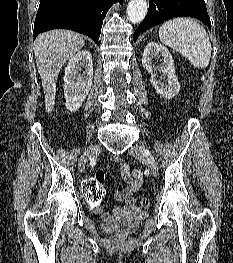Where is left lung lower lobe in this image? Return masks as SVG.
Instances as JSON below:
<instances>
[{
	"mask_svg": "<svg viewBox=\"0 0 233 263\" xmlns=\"http://www.w3.org/2000/svg\"><path fill=\"white\" fill-rule=\"evenodd\" d=\"M191 16L200 19L211 30V22L204 0H151L148 13L133 35L138 36L149 28L173 17Z\"/></svg>",
	"mask_w": 233,
	"mask_h": 263,
	"instance_id": "left-lung-lower-lobe-1",
	"label": "left lung lower lobe"
}]
</instances>
